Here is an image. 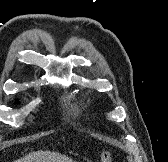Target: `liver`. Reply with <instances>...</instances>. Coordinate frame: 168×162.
Listing matches in <instances>:
<instances>
[{
	"label": "liver",
	"instance_id": "6515ba94",
	"mask_svg": "<svg viewBox=\"0 0 168 162\" xmlns=\"http://www.w3.org/2000/svg\"><path fill=\"white\" fill-rule=\"evenodd\" d=\"M14 162H74L71 158L58 152L36 151Z\"/></svg>",
	"mask_w": 168,
	"mask_h": 162
}]
</instances>
